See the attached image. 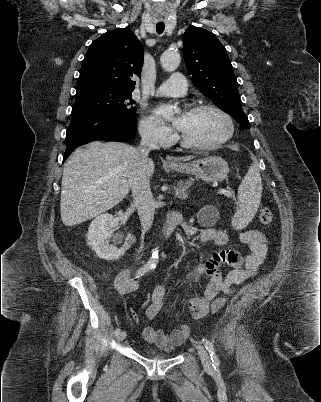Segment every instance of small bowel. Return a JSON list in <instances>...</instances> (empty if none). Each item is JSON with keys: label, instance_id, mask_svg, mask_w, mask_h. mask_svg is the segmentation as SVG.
Instances as JSON below:
<instances>
[{"label": "small bowel", "instance_id": "c3829d8e", "mask_svg": "<svg viewBox=\"0 0 321 402\" xmlns=\"http://www.w3.org/2000/svg\"><path fill=\"white\" fill-rule=\"evenodd\" d=\"M185 232L200 243H213L218 247V251L196 265L187 274V280L190 283L201 277H206L208 280L203 299H188L185 302L191 315L201 317L204 313L195 314V309L201 301L211 300L210 309L212 312H216L223 307L226 301L225 298L214 300L218 293L223 292L230 295L235 285L242 284L256 275L265 260L268 243L261 231L257 229L245 230L240 233L239 240L249 247L251 253L248 256H242L236 250L227 247L229 237L225 230L186 225ZM222 266L230 268L225 277L220 271ZM115 283L117 291L123 295L130 294L138 288V282L132 278L131 270L128 268L123 269L118 274ZM165 294L166 289L163 285L154 286L150 303L146 309L147 318L155 319L158 317L165 306ZM175 317L178 318V315L175 314ZM141 332L146 342L155 344L164 350H170L175 345L183 343L189 336L190 330L187 325L178 324L170 334L156 330L151 326L143 327Z\"/></svg>", "mask_w": 321, "mask_h": 402}]
</instances>
